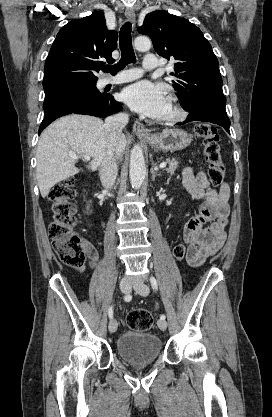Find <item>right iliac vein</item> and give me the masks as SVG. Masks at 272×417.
Masks as SVG:
<instances>
[{
	"instance_id": "obj_1",
	"label": "right iliac vein",
	"mask_w": 272,
	"mask_h": 417,
	"mask_svg": "<svg viewBox=\"0 0 272 417\" xmlns=\"http://www.w3.org/2000/svg\"><path fill=\"white\" fill-rule=\"evenodd\" d=\"M120 290L123 292V293H129L130 292V290H131V283H130V281L129 280H127V279H122L121 281H120ZM117 327H118V324H117V321L115 320V319H111L110 320V322H109V325H108V328H109V331L111 332V333H114L116 330H117Z\"/></svg>"
}]
</instances>
